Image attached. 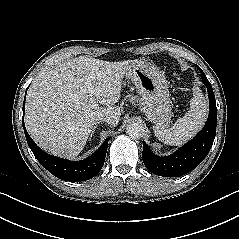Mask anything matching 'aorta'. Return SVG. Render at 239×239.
Wrapping results in <instances>:
<instances>
[{
    "label": "aorta",
    "instance_id": "1",
    "mask_svg": "<svg viewBox=\"0 0 239 239\" xmlns=\"http://www.w3.org/2000/svg\"><path fill=\"white\" fill-rule=\"evenodd\" d=\"M145 128L142 123L140 122H133L127 125L126 127V133L129 135V137L133 139H139L143 137Z\"/></svg>",
    "mask_w": 239,
    "mask_h": 239
}]
</instances>
